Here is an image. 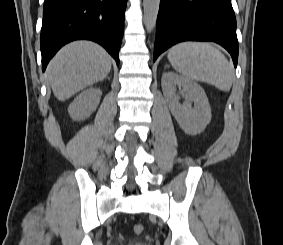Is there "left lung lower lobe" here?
I'll return each mask as SVG.
<instances>
[{
	"label": "left lung lower lobe",
	"instance_id": "1",
	"mask_svg": "<svg viewBox=\"0 0 283 245\" xmlns=\"http://www.w3.org/2000/svg\"><path fill=\"white\" fill-rule=\"evenodd\" d=\"M213 41L238 60L236 18L231 0H161L153 61L182 41Z\"/></svg>",
	"mask_w": 283,
	"mask_h": 245
}]
</instances>
